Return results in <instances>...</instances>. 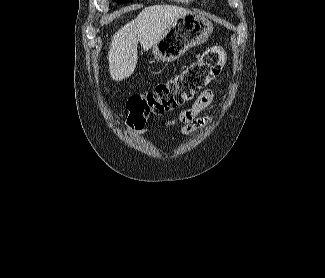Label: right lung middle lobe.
<instances>
[{
	"label": "right lung middle lobe",
	"instance_id": "1",
	"mask_svg": "<svg viewBox=\"0 0 325 278\" xmlns=\"http://www.w3.org/2000/svg\"><path fill=\"white\" fill-rule=\"evenodd\" d=\"M114 1H116L118 3H127V2H129L131 0H114Z\"/></svg>",
	"mask_w": 325,
	"mask_h": 278
}]
</instances>
